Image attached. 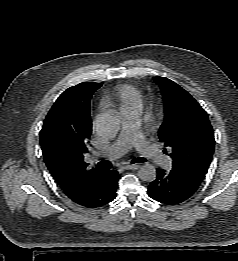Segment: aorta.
<instances>
[{
    "label": "aorta",
    "mask_w": 238,
    "mask_h": 261,
    "mask_svg": "<svg viewBox=\"0 0 238 261\" xmlns=\"http://www.w3.org/2000/svg\"><path fill=\"white\" fill-rule=\"evenodd\" d=\"M121 118L115 112H106L98 116L96 120V132L105 138L114 137L120 129ZM141 180L152 182L156 179V169L152 164L145 163L138 170Z\"/></svg>",
    "instance_id": "1"
}]
</instances>
